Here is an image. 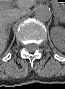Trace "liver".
I'll return each instance as SVG.
<instances>
[{
  "mask_svg": "<svg viewBox=\"0 0 65 89\" xmlns=\"http://www.w3.org/2000/svg\"><path fill=\"white\" fill-rule=\"evenodd\" d=\"M12 4H14V2L1 1V8H0V52L1 53L5 51L9 39V35H7L6 33V28L9 25L8 21L14 15L20 13L24 14L28 12L29 8L34 4V1L32 0L17 1L15 4L18 5V8H13Z\"/></svg>",
  "mask_w": 65,
  "mask_h": 89,
  "instance_id": "liver-1",
  "label": "liver"
}]
</instances>
